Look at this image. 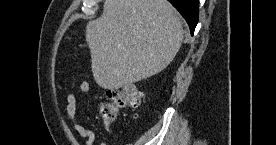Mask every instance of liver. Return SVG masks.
Listing matches in <instances>:
<instances>
[{
	"instance_id": "obj_1",
	"label": "liver",
	"mask_w": 276,
	"mask_h": 145,
	"mask_svg": "<svg viewBox=\"0 0 276 145\" xmlns=\"http://www.w3.org/2000/svg\"><path fill=\"white\" fill-rule=\"evenodd\" d=\"M96 83L118 89L165 69L178 53L183 23L167 0H105L102 15L86 25Z\"/></svg>"
}]
</instances>
